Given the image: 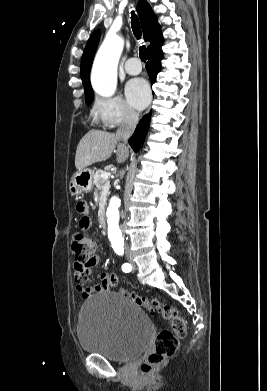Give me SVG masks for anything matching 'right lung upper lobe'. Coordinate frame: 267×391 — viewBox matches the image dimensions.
Masks as SVG:
<instances>
[{
    "label": "right lung upper lobe",
    "instance_id": "cb5924a9",
    "mask_svg": "<svg viewBox=\"0 0 267 391\" xmlns=\"http://www.w3.org/2000/svg\"><path fill=\"white\" fill-rule=\"evenodd\" d=\"M137 12L140 18L143 36L145 41H150L148 46V55L159 50L164 42L162 37L160 25L158 24L157 17L152 11L150 5L145 1L141 0L137 5ZM100 31H94L91 35L81 60V78L85 93L92 91L89 74L93 61V57L99 43Z\"/></svg>",
    "mask_w": 267,
    "mask_h": 391
}]
</instances>
